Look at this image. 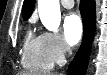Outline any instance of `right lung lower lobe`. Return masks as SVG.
Listing matches in <instances>:
<instances>
[{
  "mask_svg": "<svg viewBox=\"0 0 107 75\" xmlns=\"http://www.w3.org/2000/svg\"><path fill=\"white\" fill-rule=\"evenodd\" d=\"M80 12L83 20V41L68 67L69 75H85L96 23L95 0H81Z\"/></svg>",
  "mask_w": 107,
  "mask_h": 75,
  "instance_id": "right-lung-lower-lobe-1",
  "label": "right lung lower lobe"
}]
</instances>
